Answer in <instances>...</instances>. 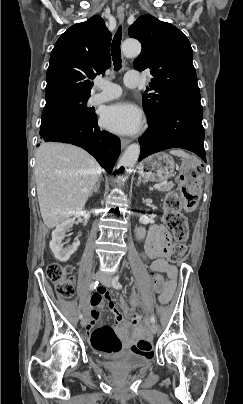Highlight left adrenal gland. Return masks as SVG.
<instances>
[{"label":"left adrenal gland","mask_w":243,"mask_h":404,"mask_svg":"<svg viewBox=\"0 0 243 404\" xmlns=\"http://www.w3.org/2000/svg\"><path fill=\"white\" fill-rule=\"evenodd\" d=\"M141 182H143V180H142L141 176H139L136 186H140Z\"/></svg>","instance_id":"1"}]
</instances>
